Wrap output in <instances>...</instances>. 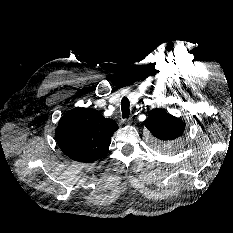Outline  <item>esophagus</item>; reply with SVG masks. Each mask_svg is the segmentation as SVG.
Segmentation results:
<instances>
[{"mask_svg":"<svg viewBox=\"0 0 233 233\" xmlns=\"http://www.w3.org/2000/svg\"><path fill=\"white\" fill-rule=\"evenodd\" d=\"M132 122H133L132 117H129V118H127V119L124 120L125 124H132Z\"/></svg>","mask_w":233,"mask_h":233,"instance_id":"esophagus-1","label":"esophagus"}]
</instances>
